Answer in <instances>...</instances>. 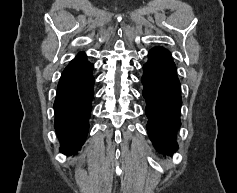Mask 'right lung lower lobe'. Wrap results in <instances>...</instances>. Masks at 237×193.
Listing matches in <instances>:
<instances>
[{
	"mask_svg": "<svg viewBox=\"0 0 237 193\" xmlns=\"http://www.w3.org/2000/svg\"><path fill=\"white\" fill-rule=\"evenodd\" d=\"M93 68L82 52L64 69L58 83L54 126L61 143L60 150L69 155L76 153L87 137L94 95Z\"/></svg>",
	"mask_w": 237,
	"mask_h": 193,
	"instance_id": "right-lung-lower-lobe-1",
	"label": "right lung lower lobe"
}]
</instances>
